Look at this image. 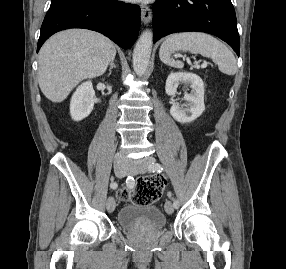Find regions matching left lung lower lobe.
Wrapping results in <instances>:
<instances>
[{
	"mask_svg": "<svg viewBox=\"0 0 286 269\" xmlns=\"http://www.w3.org/2000/svg\"><path fill=\"white\" fill-rule=\"evenodd\" d=\"M153 42L174 32L200 31L227 42L239 56L240 41L231 0H156Z\"/></svg>",
	"mask_w": 286,
	"mask_h": 269,
	"instance_id": "0a47b994",
	"label": "left lung lower lobe"
}]
</instances>
